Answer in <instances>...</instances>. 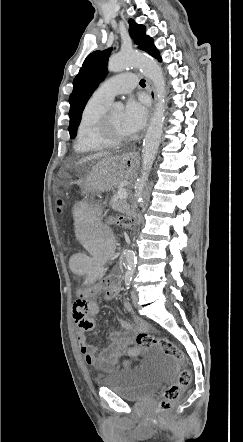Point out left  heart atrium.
Listing matches in <instances>:
<instances>
[{
	"instance_id": "1",
	"label": "left heart atrium",
	"mask_w": 243,
	"mask_h": 442,
	"mask_svg": "<svg viewBox=\"0 0 243 442\" xmlns=\"http://www.w3.org/2000/svg\"><path fill=\"white\" fill-rule=\"evenodd\" d=\"M147 104L143 99L129 100L123 113V124L129 134L140 131L146 121Z\"/></svg>"
}]
</instances>
